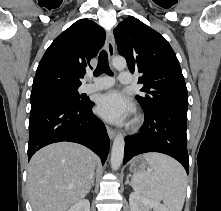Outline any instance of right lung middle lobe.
<instances>
[{
  "label": "right lung middle lobe",
  "instance_id": "right-lung-middle-lobe-1",
  "mask_svg": "<svg viewBox=\"0 0 221 211\" xmlns=\"http://www.w3.org/2000/svg\"><path fill=\"white\" fill-rule=\"evenodd\" d=\"M78 88H46L31 92V108L45 103L60 102L71 105H80L84 99L80 100Z\"/></svg>",
  "mask_w": 221,
  "mask_h": 211
}]
</instances>
